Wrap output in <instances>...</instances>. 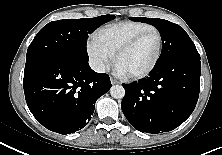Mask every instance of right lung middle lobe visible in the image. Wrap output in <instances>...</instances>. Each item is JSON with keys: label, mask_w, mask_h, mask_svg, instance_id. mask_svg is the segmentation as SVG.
<instances>
[{"label": "right lung middle lobe", "mask_w": 222, "mask_h": 155, "mask_svg": "<svg viewBox=\"0 0 222 155\" xmlns=\"http://www.w3.org/2000/svg\"><path fill=\"white\" fill-rule=\"evenodd\" d=\"M114 18V15L108 14L95 18L63 19L48 23L29 45L25 69L56 59L88 61V34Z\"/></svg>", "instance_id": "1"}]
</instances>
